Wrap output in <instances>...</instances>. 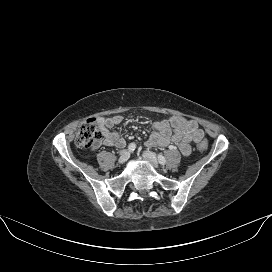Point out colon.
<instances>
[{
	"label": "colon",
	"instance_id": "5ec220e1",
	"mask_svg": "<svg viewBox=\"0 0 272 272\" xmlns=\"http://www.w3.org/2000/svg\"><path fill=\"white\" fill-rule=\"evenodd\" d=\"M101 131L97 127V122L95 119H87L84 121L79 128L75 142L81 148H89L96 141L101 139ZM198 148L201 151H205L208 148V143L206 140H203L198 144Z\"/></svg>",
	"mask_w": 272,
	"mask_h": 272
}]
</instances>
